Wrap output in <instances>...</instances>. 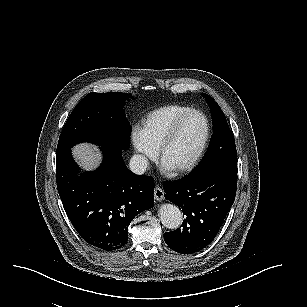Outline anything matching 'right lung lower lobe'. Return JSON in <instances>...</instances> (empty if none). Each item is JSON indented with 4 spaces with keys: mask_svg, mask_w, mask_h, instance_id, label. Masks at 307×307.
Wrapping results in <instances>:
<instances>
[{
    "mask_svg": "<svg viewBox=\"0 0 307 307\" xmlns=\"http://www.w3.org/2000/svg\"><path fill=\"white\" fill-rule=\"evenodd\" d=\"M104 160L96 171L77 175L71 149L56 154V181L64 210L81 238L110 251L128 241V226L154 205V179L128 170L122 149L100 145Z\"/></svg>",
    "mask_w": 307,
    "mask_h": 307,
    "instance_id": "98d812e1",
    "label": "right lung lower lobe"
}]
</instances>
